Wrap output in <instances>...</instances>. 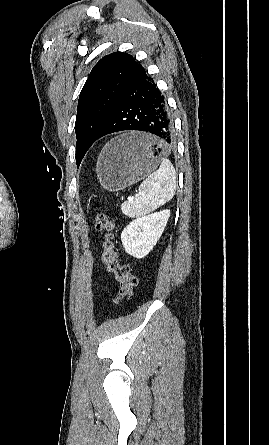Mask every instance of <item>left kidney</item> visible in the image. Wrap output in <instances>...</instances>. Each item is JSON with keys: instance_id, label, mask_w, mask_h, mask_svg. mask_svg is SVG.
<instances>
[{"instance_id": "obj_1", "label": "left kidney", "mask_w": 269, "mask_h": 445, "mask_svg": "<svg viewBox=\"0 0 269 445\" xmlns=\"http://www.w3.org/2000/svg\"><path fill=\"white\" fill-rule=\"evenodd\" d=\"M169 217L170 210H163L130 222L121 234L125 251L135 258H144L161 237Z\"/></svg>"}]
</instances>
